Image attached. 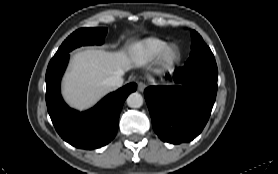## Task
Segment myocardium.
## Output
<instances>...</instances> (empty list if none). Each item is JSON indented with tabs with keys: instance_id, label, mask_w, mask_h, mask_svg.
I'll use <instances>...</instances> for the list:
<instances>
[{
	"instance_id": "obj_1",
	"label": "myocardium",
	"mask_w": 278,
	"mask_h": 174,
	"mask_svg": "<svg viewBox=\"0 0 278 174\" xmlns=\"http://www.w3.org/2000/svg\"><path fill=\"white\" fill-rule=\"evenodd\" d=\"M172 50L175 51V55L170 58L169 52ZM180 60L181 52L175 44H167L164 46L156 58L158 65L164 70H172Z\"/></svg>"
}]
</instances>
